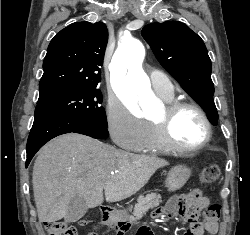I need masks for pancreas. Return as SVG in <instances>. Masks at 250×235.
<instances>
[{"label": "pancreas", "mask_w": 250, "mask_h": 235, "mask_svg": "<svg viewBox=\"0 0 250 235\" xmlns=\"http://www.w3.org/2000/svg\"><path fill=\"white\" fill-rule=\"evenodd\" d=\"M162 202L161 196L156 193H151L146 196V198L139 197L137 204L133 208V215L128 217V220L135 222L142 218L150 208H155L159 206Z\"/></svg>", "instance_id": "obj_1"}]
</instances>
